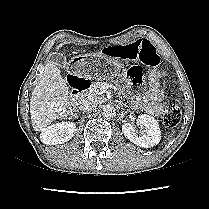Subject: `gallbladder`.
Here are the masks:
<instances>
[{"instance_id": "gallbladder-1", "label": "gallbladder", "mask_w": 209, "mask_h": 209, "mask_svg": "<svg viewBox=\"0 0 209 209\" xmlns=\"http://www.w3.org/2000/svg\"><path fill=\"white\" fill-rule=\"evenodd\" d=\"M51 60L60 67H65L67 64L66 58L60 53H53L51 55Z\"/></svg>"}]
</instances>
